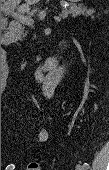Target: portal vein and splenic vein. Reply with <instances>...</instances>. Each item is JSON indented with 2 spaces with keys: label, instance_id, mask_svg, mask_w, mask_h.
Returning a JSON list of instances; mask_svg holds the SVG:
<instances>
[{
  "label": "portal vein and splenic vein",
  "instance_id": "18ae733b",
  "mask_svg": "<svg viewBox=\"0 0 109 170\" xmlns=\"http://www.w3.org/2000/svg\"><path fill=\"white\" fill-rule=\"evenodd\" d=\"M3 12L6 15H10L13 18L19 20L23 24L31 26L34 23V20L31 17L24 15V12H22V11L15 12L13 6H8V7L3 8ZM67 17H68V15H62L61 17L57 16V17H55V20L61 21V19H64V18H67Z\"/></svg>",
  "mask_w": 109,
  "mask_h": 170
}]
</instances>
